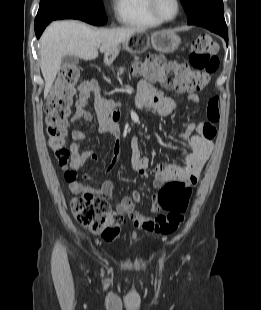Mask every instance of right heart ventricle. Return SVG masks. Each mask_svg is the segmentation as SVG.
I'll use <instances>...</instances> for the list:
<instances>
[{"instance_id":"e07e8e85","label":"right heart ventricle","mask_w":261,"mask_h":310,"mask_svg":"<svg viewBox=\"0 0 261 310\" xmlns=\"http://www.w3.org/2000/svg\"><path fill=\"white\" fill-rule=\"evenodd\" d=\"M117 21L128 27L149 29L161 24L150 12L148 0H114Z\"/></svg>"}]
</instances>
